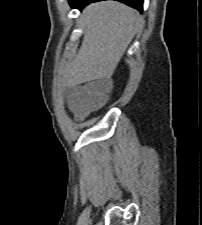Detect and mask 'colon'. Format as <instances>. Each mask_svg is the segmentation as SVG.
<instances>
[{"mask_svg": "<svg viewBox=\"0 0 202 225\" xmlns=\"http://www.w3.org/2000/svg\"><path fill=\"white\" fill-rule=\"evenodd\" d=\"M80 89L89 95V104L91 107H99L103 105L112 91L111 86L100 85L98 83H90L80 86Z\"/></svg>", "mask_w": 202, "mask_h": 225, "instance_id": "obj_1", "label": "colon"}]
</instances>
